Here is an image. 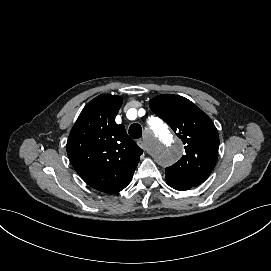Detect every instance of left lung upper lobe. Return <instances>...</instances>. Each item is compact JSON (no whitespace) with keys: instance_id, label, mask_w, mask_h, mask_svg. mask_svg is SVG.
Listing matches in <instances>:
<instances>
[{"instance_id":"5c2ea615","label":"left lung upper lobe","mask_w":271,"mask_h":271,"mask_svg":"<svg viewBox=\"0 0 271 271\" xmlns=\"http://www.w3.org/2000/svg\"><path fill=\"white\" fill-rule=\"evenodd\" d=\"M149 105L185 145L186 154L165 169L166 178L195 187L200 185L211 174L218 157L219 136L214 123L182 96L159 95L151 99Z\"/></svg>"}]
</instances>
